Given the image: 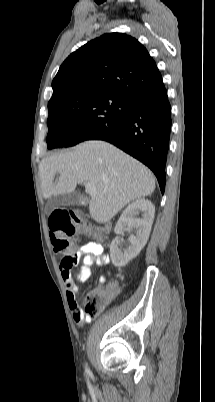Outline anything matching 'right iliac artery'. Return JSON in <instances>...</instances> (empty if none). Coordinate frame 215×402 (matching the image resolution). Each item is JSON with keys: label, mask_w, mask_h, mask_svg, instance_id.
Wrapping results in <instances>:
<instances>
[{"label": "right iliac artery", "mask_w": 215, "mask_h": 402, "mask_svg": "<svg viewBox=\"0 0 215 402\" xmlns=\"http://www.w3.org/2000/svg\"><path fill=\"white\" fill-rule=\"evenodd\" d=\"M85 372H86L87 375L91 374V372H90V370H89V368L87 366L85 367Z\"/></svg>", "instance_id": "right-iliac-artery-1"}]
</instances>
